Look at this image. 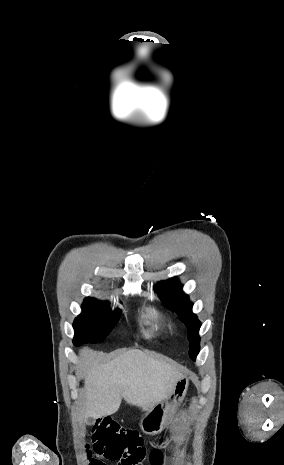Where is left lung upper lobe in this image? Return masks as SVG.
Masks as SVG:
<instances>
[{
    "mask_svg": "<svg viewBox=\"0 0 284 465\" xmlns=\"http://www.w3.org/2000/svg\"><path fill=\"white\" fill-rule=\"evenodd\" d=\"M182 285L176 278H171L156 284L154 290L161 295V300L167 308L176 312L188 329L189 356L196 359L200 350V338L198 335L201 323L197 316L192 313L193 303L189 297L182 292Z\"/></svg>",
    "mask_w": 284,
    "mask_h": 465,
    "instance_id": "5c2ea615",
    "label": "left lung upper lobe"
}]
</instances>
